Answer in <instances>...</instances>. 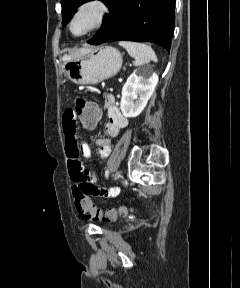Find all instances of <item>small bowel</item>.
Masks as SVG:
<instances>
[{
    "mask_svg": "<svg viewBox=\"0 0 240 288\" xmlns=\"http://www.w3.org/2000/svg\"><path fill=\"white\" fill-rule=\"evenodd\" d=\"M105 110L108 116L106 124L107 136L95 141L99 147V155L106 158L112 148V139L115 138L121 130L128 126V119L118 109L115 97L112 94L104 95ZM62 127L65 139V147L68 158V168L71 181L75 187H78L88 195L101 197H115L119 194V188H101L96 185V177L81 163L80 155L86 158L91 157V149L86 143H80L77 131V117L72 109L64 112L62 117Z\"/></svg>",
    "mask_w": 240,
    "mask_h": 288,
    "instance_id": "1",
    "label": "small bowel"
}]
</instances>
